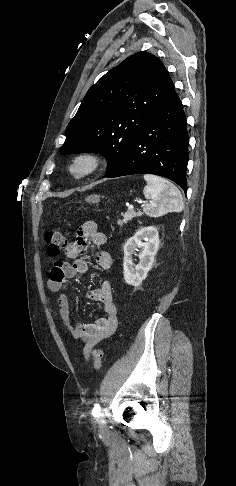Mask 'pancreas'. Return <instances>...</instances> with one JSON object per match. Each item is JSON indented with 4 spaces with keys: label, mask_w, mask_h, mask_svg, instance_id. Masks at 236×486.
Returning <instances> with one entry per match:
<instances>
[{
    "label": "pancreas",
    "mask_w": 236,
    "mask_h": 486,
    "mask_svg": "<svg viewBox=\"0 0 236 486\" xmlns=\"http://www.w3.org/2000/svg\"><path fill=\"white\" fill-rule=\"evenodd\" d=\"M141 214L138 213V212H135V211H128L126 212L125 214H123V219L122 220H118L117 221V224L119 226H122L123 224H126L127 222L131 221L134 217L136 216H140Z\"/></svg>",
    "instance_id": "pancreas-1"
}]
</instances>
